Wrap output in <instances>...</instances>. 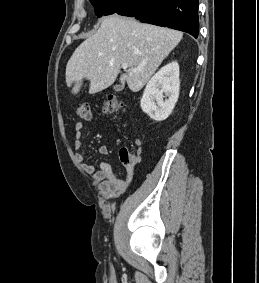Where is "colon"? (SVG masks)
<instances>
[{"instance_id":"obj_1","label":"colon","mask_w":259,"mask_h":283,"mask_svg":"<svg viewBox=\"0 0 259 283\" xmlns=\"http://www.w3.org/2000/svg\"><path fill=\"white\" fill-rule=\"evenodd\" d=\"M124 103L114 95H109L103 102V112L106 114L123 113ZM77 115L80 119L91 120L93 114L88 103H81L77 108ZM121 160L123 164L133 165L138 161V154L131 152L128 148L121 149Z\"/></svg>"}]
</instances>
